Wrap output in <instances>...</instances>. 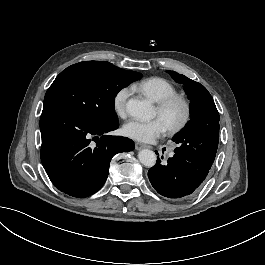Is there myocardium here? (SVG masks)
I'll return each mask as SVG.
<instances>
[{"label":"myocardium","instance_id":"f54148a6","mask_svg":"<svg viewBox=\"0 0 265 265\" xmlns=\"http://www.w3.org/2000/svg\"><path fill=\"white\" fill-rule=\"evenodd\" d=\"M175 105H178L182 109V116L179 122L176 124H165L166 129L171 134H176L183 131L188 124L190 123L192 117V106L189 100L180 95V94H173L157 104V115L160 118H164L168 111Z\"/></svg>","mask_w":265,"mask_h":265}]
</instances>
